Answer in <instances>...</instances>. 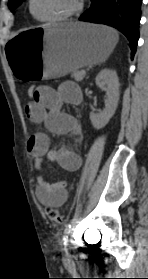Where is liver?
Masks as SVG:
<instances>
[{"instance_id":"obj_1","label":"liver","mask_w":148,"mask_h":279,"mask_svg":"<svg viewBox=\"0 0 148 279\" xmlns=\"http://www.w3.org/2000/svg\"><path fill=\"white\" fill-rule=\"evenodd\" d=\"M73 24H76V25H83L84 23H73Z\"/></svg>"}]
</instances>
